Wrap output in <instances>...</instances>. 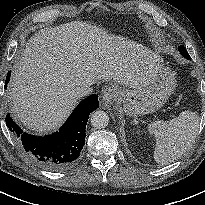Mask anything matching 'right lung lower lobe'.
<instances>
[{
  "mask_svg": "<svg viewBox=\"0 0 205 205\" xmlns=\"http://www.w3.org/2000/svg\"><path fill=\"white\" fill-rule=\"evenodd\" d=\"M11 72H8L7 85ZM99 107L98 97L93 94L79 103L59 131L44 137L23 132L6 116L9 130L18 139L30 159L42 168L60 171L71 167L78 159L85 143V129L88 117Z\"/></svg>",
  "mask_w": 205,
  "mask_h": 205,
  "instance_id": "right-lung-lower-lobe-1",
  "label": "right lung lower lobe"
}]
</instances>
